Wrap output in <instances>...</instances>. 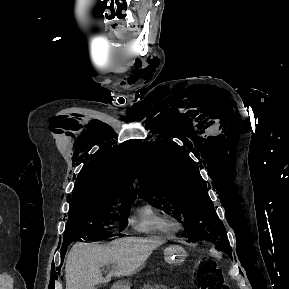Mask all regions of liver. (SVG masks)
<instances>
[{
    "label": "liver",
    "mask_w": 289,
    "mask_h": 289,
    "mask_svg": "<svg viewBox=\"0 0 289 289\" xmlns=\"http://www.w3.org/2000/svg\"><path fill=\"white\" fill-rule=\"evenodd\" d=\"M162 243L160 239L130 237L114 240L107 246L77 243L66 260V289H95V285L108 282L111 277L133 274ZM106 264H115L116 269L104 278L101 267Z\"/></svg>",
    "instance_id": "obj_1"
}]
</instances>
